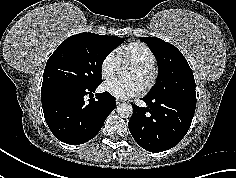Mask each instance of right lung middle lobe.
I'll return each mask as SVG.
<instances>
[{
  "label": "right lung middle lobe",
  "instance_id": "dd1d6c3e",
  "mask_svg": "<svg viewBox=\"0 0 236 178\" xmlns=\"http://www.w3.org/2000/svg\"><path fill=\"white\" fill-rule=\"evenodd\" d=\"M123 41L117 36L95 33L68 37L48 59L42 85L98 87L102 82L101 67L104 59Z\"/></svg>",
  "mask_w": 236,
  "mask_h": 178
}]
</instances>
